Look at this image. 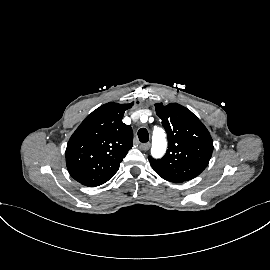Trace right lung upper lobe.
Here are the masks:
<instances>
[{
    "instance_id": "1",
    "label": "right lung upper lobe",
    "mask_w": 270,
    "mask_h": 270,
    "mask_svg": "<svg viewBox=\"0 0 270 270\" xmlns=\"http://www.w3.org/2000/svg\"><path fill=\"white\" fill-rule=\"evenodd\" d=\"M133 104H104L73 133L66 148V165L76 181L95 187L118 171L133 144L132 128L122 122L125 110Z\"/></svg>"
}]
</instances>
